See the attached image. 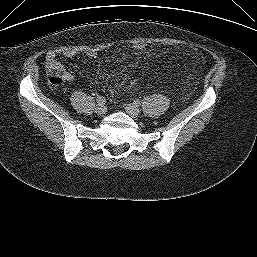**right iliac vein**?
Listing matches in <instances>:
<instances>
[{
	"label": "right iliac vein",
	"instance_id": "1",
	"mask_svg": "<svg viewBox=\"0 0 257 257\" xmlns=\"http://www.w3.org/2000/svg\"><path fill=\"white\" fill-rule=\"evenodd\" d=\"M106 106L104 104H97L95 107V113L98 115H103L106 113Z\"/></svg>",
	"mask_w": 257,
	"mask_h": 257
}]
</instances>
